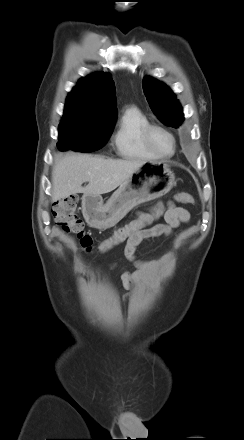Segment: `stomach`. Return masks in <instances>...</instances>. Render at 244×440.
Returning a JSON list of instances; mask_svg holds the SVG:
<instances>
[{
  "instance_id": "obj_1",
  "label": "stomach",
  "mask_w": 244,
  "mask_h": 440,
  "mask_svg": "<svg viewBox=\"0 0 244 440\" xmlns=\"http://www.w3.org/2000/svg\"><path fill=\"white\" fill-rule=\"evenodd\" d=\"M176 184L170 166L161 161L146 162L104 203L101 196L86 195L82 209L86 222L97 229L117 224L134 207L162 197Z\"/></svg>"
}]
</instances>
